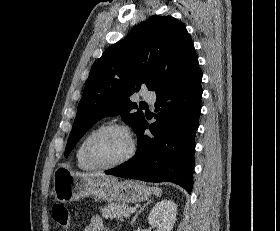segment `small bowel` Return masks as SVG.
<instances>
[{
	"mask_svg": "<svg viewBox=\"0 0 280 231\" xmlns=\"http://www.w3.org/2000/svg\"><path fill=\"white\" fill-rule=\"evenodd\" d=\"M84 231H108L102 218L98 215H94L89 224L84 227Z\"/></svg>",
	"mask_w": 280,
	"mask_h": 231,
	"instance_id": "obj_1",
	"label": "small bowel"
}]
</instances>
